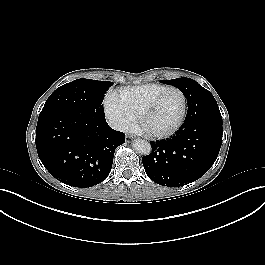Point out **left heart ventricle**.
I'll use <instances>...</instances> for the list:
<instances>
[{"instance_id":"obj_1","label":"left heart ventricle","mask_w":265,"mask_h":265,"mask_svg":"<svg viewBox=\"0 0 265 265\" xmlns=\"http://www.w3.org/2000/svg\"><path fill=\"white\" fill-rule=\"evenodd\" d=\"M182 111V97L177 91L167 92L144 121L152 132H164L178 121Z\"/></svg>"}]
</instances>
